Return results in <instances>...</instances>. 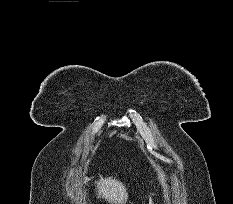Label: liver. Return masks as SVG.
I'll return each instance as SVG.
<instances>
[{
	"mask_svg": "<svg viewBox=\"0 0 233 204\" xmlns=\"http://www.w3.org/2000/svg\"><path fill=\"white\" fill-rule=\"evenodd\" d=\"M87 178L84 179V182ZM97 187L98 198L102 197L110 204H125L128 199L127 189L122 182L115 178L100 177L98 181H95Z\"/></svg>",
	"mask_w": 233,
	"mask_h": 204,
	"instance_id": "liver-1",
	"label": "liver"
}]
</instances>
